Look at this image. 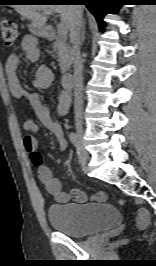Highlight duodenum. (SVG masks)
<instances>
[{
  "label": "duodenum",
  "instance_id": "1",
  "mask_svg": "<svg viewBox=\"0 0 156 266\" xmlns=\"http://www.w3.org/2000/svg\"><path fill=\"white\" fill-rule=\"evenodd\" d=\"M45 37L49 40H54L58 37V35L54 28L47 27L45 29ZM73 80H74L73 75L69 72L65 73L62 76V85L67 92L71 91L73 87Z\"/></svg>",
  "mask_w": 156,
  "mask_h": 266
}]
</instances>
